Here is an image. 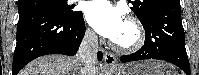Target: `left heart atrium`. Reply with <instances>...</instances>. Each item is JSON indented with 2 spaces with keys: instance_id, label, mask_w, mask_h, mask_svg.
Masks as SVG:
<instances>
[{
  "instance_id": "left-heart-atrium-1",
  "label": "left heart atrium",
  "mask_w": 199,
  "mask_h": 75,
  "mask_svg": "<svg viewBox=\"0 0 199 75\" xmlns=\"http://www.w3.org/2000/svg\"><path fill=\"white\" fill-rule=\"evenodd\" d=\"M86 19L97 33L112 41L118 39L127 23L124 14L107 1L90 2Z\"/></svg>"
}]
</instances>
